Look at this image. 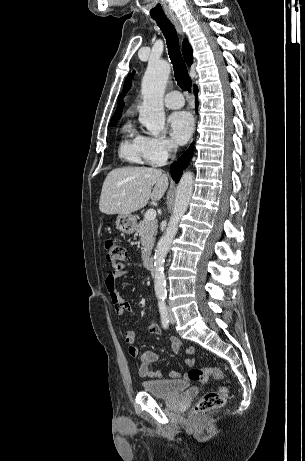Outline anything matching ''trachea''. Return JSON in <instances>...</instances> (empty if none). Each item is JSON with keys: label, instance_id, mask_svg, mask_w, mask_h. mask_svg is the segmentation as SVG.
<instances>
[{"label": "trachea", "instance_id": "3493384b", "mask_svg": "<svg viewBox=\"0 0 305 461\" xmlns=\"http://www.w3.org/2000/svg\"><path fill=\"white\" fill-rule=\"evenodd\" d=\"M153 19L166 38L168 53L173 64L177 84L183 90H190L192 82L180 52L179 39L174 25L166 17Z\"/></svg>", "mask_w": 305, "mask_h": 461}]
</instances>
